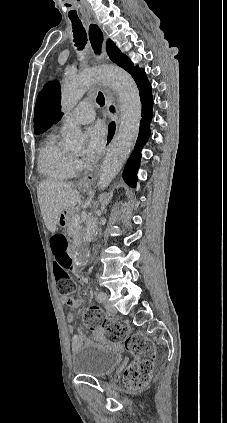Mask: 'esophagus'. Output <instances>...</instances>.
I'll return each mask as SVG.
<instances>
[{"mask_svg":"<svg viewBox=\"0 0 227 423\" xmlns=\"http://www.w3.org/2000/svg\"><path fill=\"white\" fill-rule=\"evenodd\" d=\"M87 32H88V40H89V47L91 54L95 60V62H102L106 57V38L105 34L98 25L97 22L94 20H87ZM107 112L109 116L114 120L118 113V107L112 95L109 93L108 100H107ZM109 134L106 136V140L103 142L104 148H109L110 144L113 143L116 135L117 126L112 121L111 124L108 126ZM99 169H96L93 173L84 176L80 181L90 184L94 183L97 180Z\"/></svg>","mask_w":227,"mask_h":423,"instance_id":"34e87169","label":"esophagus"}]
</instances>
